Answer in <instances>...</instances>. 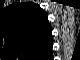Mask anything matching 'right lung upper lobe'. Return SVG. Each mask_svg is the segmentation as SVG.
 I'll use <instances>...</instances> for the list:
<instances>
[{"label": "right lung upper lobe", "mask_w": 80, "mask_h": 60, "mask_svg": "<svg viewBox=\"0 0 80 60\" xmlns=\"http://www.w3.org/2000/svg\"><path fill=\"white\" fill-rule=\"evenodd\" d=\"M0 36L16 53L35 54L50 44L47 14L35 3L13 4L4 9Z\"/></svg>", "instance_id": "right-lung-upper-lobe-1"}]
</instances>
